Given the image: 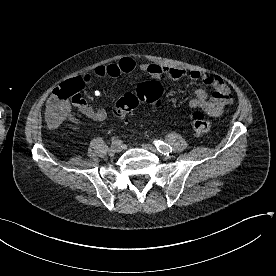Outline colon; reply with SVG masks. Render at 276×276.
<instances>
[{
    "label": "colon",
    "instance_id": "5ec220e1",
    "mask_svg": "<svg viewBox=\"0 0 276 276\" xmlns=\"http://www.w3.org/2000/svg\"><path fill=\"white\" fill-rule=\"evenodd\" d=\"M83 83L75 78L56 87L50 97L47 108V121L57 126L64 120L70 103H75L81 97ZM163 89L159 82L149 81L138 85L135 93L124 94L113 106V113L120 119L126 118L140 102H145L154 108L161 103ZM190 124L197 134H206L211 130V123L201 109H193Z\"/></svg>",
    "mask_w": 276,
    "mask_h": 276
}]
</instances>
